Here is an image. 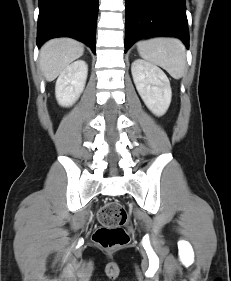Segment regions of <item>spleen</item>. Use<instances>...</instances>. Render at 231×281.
<instances>
[{"mask_svg":"<svg viewBox=\"0 0 231 281\" xmlns=\"http://www.w3.org/2000/svg\"><path fill=\"white\" fill-rule=\"evenodd\" d=\"M140 56L165 69L174 79L184 75L186 51L183 43L173 38H154L137 43Z\"/></svg>","mask_w":231,"mask_h":281,"instance_id":"obj_1","label":"spleen"}]
</instances>
